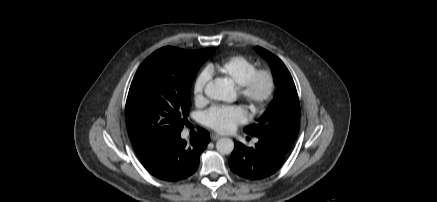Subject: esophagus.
<instances>
[{"label":"esophagus","mask_w":437,"mask_h":202,"mask_svg":"<svg viewBox=\"0 0 437 202\" xmlns=\"http://www.w3.org/2000/svg\"><path fill=\"white\" fill-rule=\"evenodd\" d=\"M210 137H211V140L215 141V140L220 138V135H218L216 133H212Z\"/></svg>","instance_id":"34e87169"}]
</instances>
